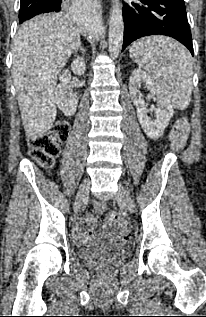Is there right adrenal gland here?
<instances>
[{"mask_svg": "<svg viewBox=\"0 0 206 317\" xmlns=\"http://www.w3.org/2000/svg\"><path fill=\"white\" fill-rule=\"evenodd\" d=\"M77 49H80L83 53H85V49L82 47L81 43L79 44Z\"/></svg>", "mask_w": 206, "mask_h": 317, "instance_id": "2a0ac1e0", "label": "right adrenal gland"}]
</instances>
